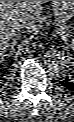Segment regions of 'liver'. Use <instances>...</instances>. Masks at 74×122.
<instances>
[{
  "instance_id": "liver-1",
  "label": "liver",
  "mask_w": 74,
  "mask_h": 122,
  "mask_svg": "<svg viewBox=\"0 0 74 122\" xmlns=\"http://www.w3.org/2000/svg\"><path fill=\"white\" fill-rule=\"evenodd\" d=\"M45 1H0V49L4 51L18 40L16 22L25 23L24 30L31 33L44 22L42 3Z\"/></svg>"
}]
</instances>
